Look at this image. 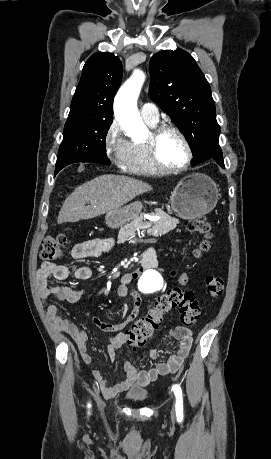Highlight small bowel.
<instances>
[{
    "label": "small bowel",
    "mask_w": 271,
    "mask_h": 459,
    "mask_svg": "<svg viewBox=\"0 0 271 459\" xmlns=\"http://www.w3.org/2000/svg\"><path fill=\"white\" fill-rule=\"evenodd\" d=\"M115 245V240L111 238L88 240L76 244L71 251V256L77 260L98 257L112 252ZM155 266V257L151 252H148L143 258L140 272L154 268ZM70 274L69 268L65 265L52 262L43 263L36 275L37 287L41 299L46 300L49 296L54 295L62 302L75 303L80 300L84 295V290L64 285H50V280L64 281ZM72 274L78 280H88L92 276V271L89 267L77 266L74 268ZM171 275L177 278L181 285H186L189 281L185 273L172 271ZM134 277L135 274H126L122 277L121 285L118 289V294L120 296H126L129 285ZM140 304L141 300L135 298L128 316L122 322L110 323L102 321L98 317L92 318L94 325L102 331L115 333L110 339V343L107 347L108 355L113 361L117 359V351L127 342V337L122 330L127 324L133 322L137 318ZM46 316L51 326L58 331L68 334L76 342L82 361L86 365H91L92 357L87 350V333L79 329L73 322L60 316L57 308L53 305L46 307ZM166 337L174 338L179 341V347L176 353L170 355L165 361L158 363L155 367L147 370L131 364L130 362H124L123 366L126 377L115 385H109L105 376L98 369H93L92 374L99 384L102 396L106 399H111L129 389L146 388L158 378L166 377L177 372L191 351L193 334L191 330L185 326H174L167 332ZM149 354L152 359L156 360L160 356V351L157 348H153L150 350Z\"/></svg>",
    "instance_id": "obj_1"
}]
</instances>
